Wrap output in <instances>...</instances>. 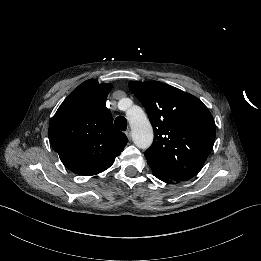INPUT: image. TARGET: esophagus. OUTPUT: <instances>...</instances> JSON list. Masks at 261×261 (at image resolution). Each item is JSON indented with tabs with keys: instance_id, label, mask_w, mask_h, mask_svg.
Masks as SVG:
<instances>
[{
	"instance_id": "1",
	"label": "esophagus",
	"mask_w": 261,
	"mask_h": 261,
	"mask_svg": "<svg viewBox=\"0 0 261 261\" xmlns=\"http://www.w3.org/2000/svg\"><path fill=\"white\" fill-rule=\"evenodd\" d=\"M125 135L127 136L128 140H131L132 136L130 130L125 131Z\"/></svg>"
}]
</instances>
